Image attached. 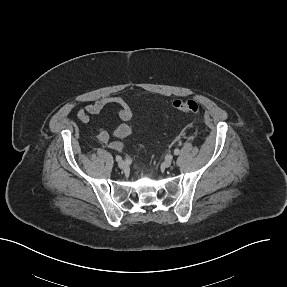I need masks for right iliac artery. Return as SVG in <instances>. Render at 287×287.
Wrapping results in <instances>:
<instances>
[{
    "label": "right iliac artery",
    "mask_w": 287,
    "mask_h": 287,
    "mask_svg": "<svg viewBox=\"0 0 287 287\" xmlns=\"http://www.w3.org/2000/svg\"><path fill=\"white\" fill-rule=\"evenodd\" d=\"M115 159H116V161H118V162H119V161H121V160H122V157H121V156H119V155H117Z\"/></svg>",
    "instance_id": "1"
}]
</instances>
